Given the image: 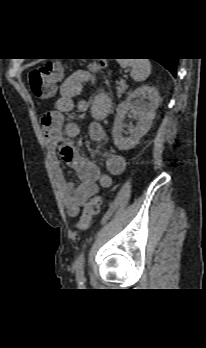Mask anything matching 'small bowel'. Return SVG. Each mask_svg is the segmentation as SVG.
Segmentation results:
<instances>
[{
    "label": "small bowel",
    "instance_id": "1",
    "mask_svg": "<svg viewBox=\"0 0 206 348\" xmlns=\"http://www.w3.org/2000/svg\"><path fill=\"white\" fill-rule=\"evenodd\" d=\"M95 77L85 70H79L70 75L60 87V95L56 99L54 109L47 111L42 118V133L54 167V174L62 193L63 203L67 214L75 217L81 206L91 196L98 193L99 188H109L113 184V175H121L126 168L125 159L116 153L108 154L105 158L107 172L101 171L93 162L81 155L75 147L64 142L61 134L76 137L81 132V125L75 121H67L64 115L77 110L89 111L91 122L88 127L89 137L96 142H105L106 132L101 121L107 116L111 107L109 96L100 92L89 102L79 97L84 84L94 81ZM65 162L75 172L80 180L77 188L67 182L61 169Z\"/></svg>",
    "mask_w": 206,
    "mask_h": 348
}]
</instances>
